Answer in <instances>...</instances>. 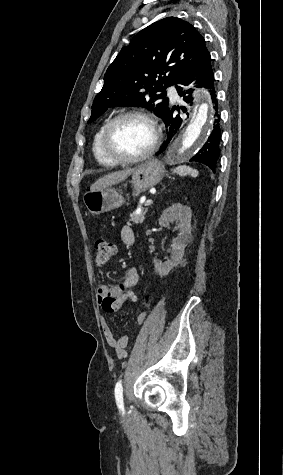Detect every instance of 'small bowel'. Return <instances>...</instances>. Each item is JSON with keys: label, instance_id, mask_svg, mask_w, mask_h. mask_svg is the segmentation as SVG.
<instances>
[{"label": "small bowel", "instance_id": "obj_1", "mask_svg": "<svg viewBox=\"0 0 283 475\" xmlns=\"http://www.w3.org/2000/svg\"><path fill=\"white\" fill-rule=\"evenodd\" d=\"M121 241L126 246H132L135 243V234L131 227L124 226L120 231ZM123 279H135L136 285L139 280V275L136 269L130 268L126 271ZM120 284L118 285H108L105 283L97 284L95 288V298L97 303L101 306L104 310V307L101 305L102 295L103 293H118ZM134 299L136 296L134 294ZM146 318V312H141L137 317L138 324H142ZM101 330L103 336L110 347L115 350L116 356L119 359L125 358L128 354V345H129V337L125 334L116 337L109 326V324L105 320H101Z\"/></svg>", "mask_w": 283, "mask_h": 475}]
</instances>
